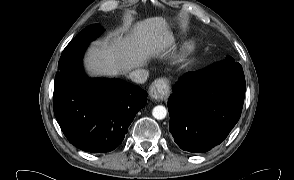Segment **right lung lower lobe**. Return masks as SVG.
<instances>
[{
    "mask_svg": "<svg viewBox=\"0 0 294 180\" xmlns=\"http://www.w3.org/2000/svg\"><path fill=\"white\" fill-rule=\"evenodd\" d=\"M88 45L63 52L55 76L56 120L74 146L92 153L109 152L121 144L147 92L121 80H94L82 70Z\"/></svg>",
    "mask_w": 294,
    "mask_h": 180,
    "instance_id": "obj_1",
    "label": "right lung lower lobe"
}]
</instances>
